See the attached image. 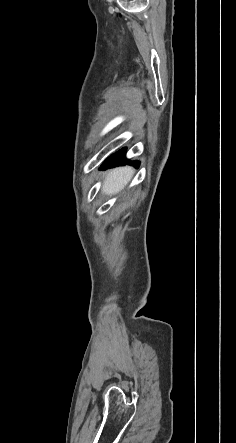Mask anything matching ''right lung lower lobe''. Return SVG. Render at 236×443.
<instances>
[{
	"label": "right lung lower lobe",
	"mask_w": 236,
	"mask_h": 443,
	"mask_svg": "<svg viewBox=\"0 0 236 443\" xmlns=\"http://www.w3.org/2000/svg\"><path fill=\"white\" fill-rule=\"evenodd\" d=\"M125 151L126 149L123 148L117 153L111 155L102 165V169H105L110 166L118 165V164H124L129 163L128 160L125 158ZM131 164L135 165L136 167L139 166V163L137 161L131 162Z\"/></svg>",
	"instance_id": "98d812e1"
}]
</instances>
